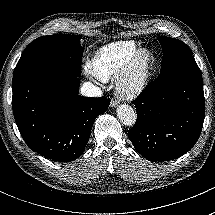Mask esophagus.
<instances>
[{
    "label": "esophagus",
    "mask_w": 215,
    "mask_h": 215,
    "mask_svg": "<svg viewBox=\"0 0 215 215\" xmlns=\"http://www.w3.org/2000/svg\"><path fill=\"white\" fill-rule=\"evenodd\" d=\"M117 105V101L113 100L110 103V107H115Z\"/></svg>",
    "instance_id": "obj_1"
}]
</instances>
